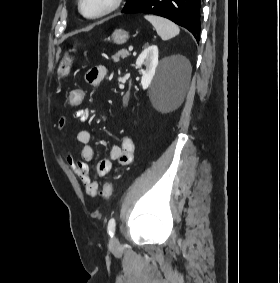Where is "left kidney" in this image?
Returning <instances> with one entry per match:
<instances>
[{
	"instance_id": "1",
	"label": "left kidney",
	"mask_w": 280,
	"mask_h": 283,
	"mask_svg": "<svg viewBox=\"0 0 280 283\" xmlns=\"http://www.w3.org/2000/svg\"><path fill=\"white\" fill-rule=\"evenodd\" d=\"M172 60L178 62L180 65L187 63V60L183 57H173ZM136 65L137 67L141 68V85L142 88L145 90L150 86L152 79L155 75L156 68L158 66L157 45H151L144 49L137 58ZM142 65L145 66V69H142Z\"/></svg>"
}]
</instances>
